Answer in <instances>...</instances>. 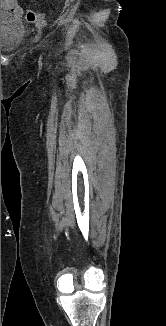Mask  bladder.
<instances>
[{
    "mask_svg": "<svg viewBox=\"0 0 166 326\" xmlns=\"http://www.w3.org/2000/svg\"><path fill=\"white\" fill-rule=\"evenodd\" d=\"M23 36V20L10 11L1 10V51L15 49Z\"/></svg>",
    "mask_w": 166,
    "mask_h": 326,
    "instance_id": "1",
    "label": "bladder"
}]
</instances>
